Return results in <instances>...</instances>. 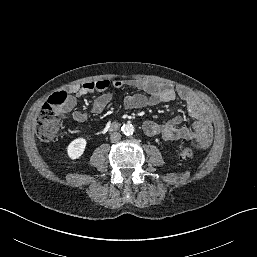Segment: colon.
I'll list each match as a JSON object with an SVG mask.
<instances>
[{"instance_id":"obj_1","label":"colon","mask_w":257,"mask_h":257,"mask_svg":"<svg viewBox=\"0 0 257 257\" xmlns=\"http://www.w3.org/2000/svg\"><path fill=\"white\" fill-rule=\"evenodd\" d=\"M69 97L66 91L56 92L40 109L35 121V131L41 140L53 142L63 135V120L67 113ZM204 147V142L197 141L192 148L182 150L178 157L181 160H188L195 151Z\"/></svg>"}]
</instances>
